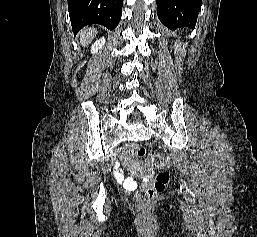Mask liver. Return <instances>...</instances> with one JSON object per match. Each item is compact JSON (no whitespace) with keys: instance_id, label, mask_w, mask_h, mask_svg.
<instances>
[{"instance_id":"6515ba94","label":"liver","mask_w":257,"mask_h":237,"mask_svg":"<svg viewBox=\"0 0 257 237\" xmlns=\"http://www.w3.org/2000/svg\"><path fill=\"white\" fill-rule=\"evenodd\" d=\"M96 34H97V30L94 28H88L83 30L80 34V44L83 47L88 46L91 43V41L94 39Z\"/></svg>"}]
</instances>
